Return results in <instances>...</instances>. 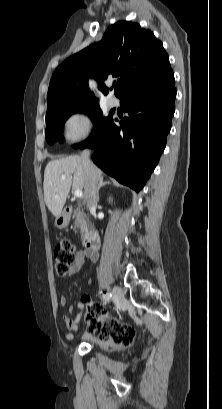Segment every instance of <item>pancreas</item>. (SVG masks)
<instances>
[{
	"label": "pancreas",
	"instance_id": "cf45deb5",
	"mask_svg": "<svg viewBox=\"0 0 222 409\" xmlns=\"http://www.w3.org/2000/svg\"><path fill=\"white\" fill-rule=\"evenodd\" d=\"M73 218L75 219V227L80 228L81 239H85L88 233V221L84 212L80 210V207L74 211Z\"/></svg>",
	"mask_w": 222,
	"mask_h": 409
}]
</instances>
